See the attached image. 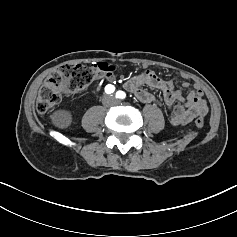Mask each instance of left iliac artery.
<instances>
[{"mask_svg": "<svg viewBox=\"0 0 237 237\" xmlns=\"http://www.w3.org/2000/svg\"><path fill=\"white\" fill-rule=\"evenodd\" d=\"M116 97L120 99H124L126 97V94L123 91H117Z\"/></svg>", "mask_w": 237, "mask_h": 237, "instance_id": "obj_1", "label": "left iliac artery"}]
</instances>
